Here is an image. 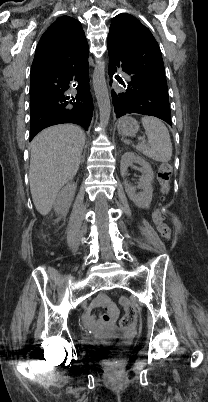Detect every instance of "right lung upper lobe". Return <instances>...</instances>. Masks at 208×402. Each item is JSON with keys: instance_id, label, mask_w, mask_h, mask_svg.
<instances>
[{"instance_id": "right-lung-upper-lobe-1", "label": "right lung upper lobe", "mask_w": 208, "mask_h": 402, "mask_svg": "<svg viewBox=\"0 0 208 402\" xmlns=\"http://www.w3.org/2000/svg\"><path fill=\"white\" fill-rule=\"evenodd\" d=\"M87 45L81 23L59 17L41 36L31 69L63 64Z\"/></svg>"}]
</instances>
